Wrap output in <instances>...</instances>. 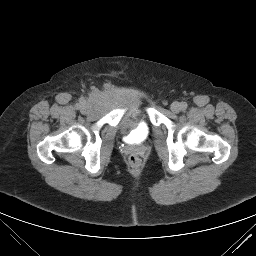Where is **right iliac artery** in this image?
Returning <instances> with one entry per match:
<instances>
[{"mask_svg":"<svg viewBox=\"0 0 256 256\" xmlns=\"http://www.w3.org/2000/svg\"><path fill=\"white\" fill-rule=\"evenodd\" d=\"M83 102H84V99L81 98L80 103L76 104V108L79 109L81 107V103H83Z\"/></svg>","mask_w":256,"mask_h":256,"instance_id":"obj_1","label":"right iliac artery"}]
</instances>
